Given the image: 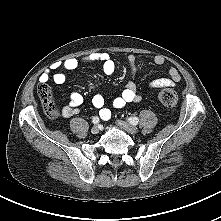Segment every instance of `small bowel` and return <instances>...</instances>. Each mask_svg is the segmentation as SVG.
<instances>
[{
	"label": "small bowel",
	"instance_id": "c3829d8e",
	"mask_svg": "<svg viewBox=\"0 0 221 221\" xmlns=\"http://www.w3.org/2000/svg\"><path fill=\"white\" fill-rule=\"evenodd\" d=\"M125 59L127 60L131 73L135 74L137 71V61L136 56L132 53L125 54ZM92 62H101L102 63V71L106 76H110L113 74L115 70V63L111 56L106 52H95L84 55L81 58H68L62 63H56L53 66V70L63 69L64 71L55 72L52 77L49 73L44 72L39 77V82L41 84H46L50 79L57 84L62 85L67 80L66 72L73 71L78 68L81 63H92ZM165 59L163 56H156L154 58V63L156 65H163ZM168 78H159L154 80L151 83V88H159V87H173L177 83L180 82L181 76L179 71L175 67H169L167 69ZM140 100V96L137 93V87L134 81H129L126 84L125 89L122 93L115 97L112 101V106L115 109H121L125 107L128 103L138 102ZM84 97L79 92H72L69 98L68 104L62 110V116L65 118L72 117L76 115L79 111V107L83 104ZM92 105L99 109V116L102 120H109L111 118V110L105 107V98L102 94H97L92 98Z\"/></svg>",
	"mask_w": 221,
	"mask_h": 221
}]
</instances>
